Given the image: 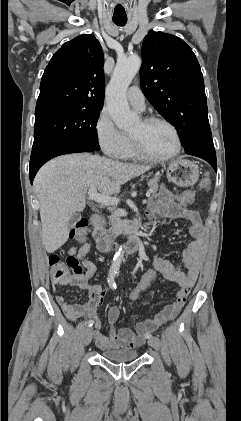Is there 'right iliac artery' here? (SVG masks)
Instances as JSON below:
<instances>
[{"label": "right iliac artery", "instance_id": "right-iliac-artery-1", "mask_svg": "<svg viewBox=\"0 0 241 421\" xmlns=\"http://www.w3.org/2000/svg\"><path fill=\"white\" fill-rule=\"evenodd\" d=\"M115 272H113V271H110L109 272V275H108V284H109V286L112 288V289H116V283H115ZM93 321L92 320H89L88 322H87V325L89 326V327H91L92 325H93Z\"/></svg>", "mask_w": 241, "mask_h": 421}]
</instances>
